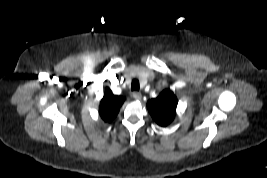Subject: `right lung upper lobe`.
I'll use <instances>...</instances> for the list:
<instances>
[{
  "label": "right lung upper lobe",
  "mask_w": 267,
  "mask_h": 178,
  "mask_svg": "<svg viewBox=\"0 0 267 178\" xmlns=\"http://www.w3.org/2000/svg\"><path fill=\"white\" fill-rule=\"evenodd\" d=\"M122 96L113 95L109 88H106L104 97L100 102L99 114L105 122H111L119 112L120 106L123 104Z\"/></svg>",
  "instance_id": "right-lung-upper-lobe-1"
}]
</instances>
